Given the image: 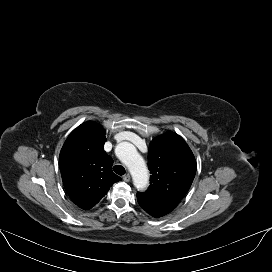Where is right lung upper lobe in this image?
Wrapping results in <instances>:
<instances>
[{
    "mask_svg": "<svg viewBox=\"0 0 272 272\" xmlns=\"http://www.w3.org/2000/svg\"><path fill=\"white\" fill-rule=\"evenodd\" d=\"M105 130L88 121L66 139L59 156L63 184L71 200L88 210L121 180L112 171L113 160L104 151Z\"/></svg>",
    "mask_w": 272,
    "mask_h": 272,
    "instance_id": "1",
    "label": "right lung upper lobe"
}]
</instances>
